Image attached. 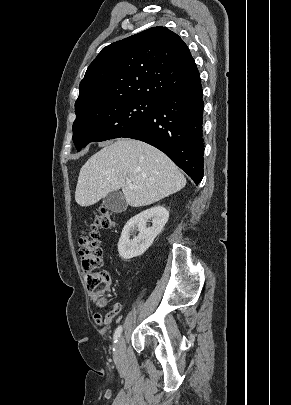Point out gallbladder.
<instances>
[{
    "instance_id": "gallbladder-1",
    "label": "gallbladder",
    "mask_w": 291,
    "mask_h": 405,
    "mask_svg": "<svg viewBox=\"0 0 291 405\" xmlns=\"http://www.w3.org/2000/svg\"><path fill=\"white\" fill-rule=\"evenodd\" d=\"M104 206L112 212L120 213L126 210L127 203L120 191H113L103 199Z\"/></svg>"
}]
</instances>
